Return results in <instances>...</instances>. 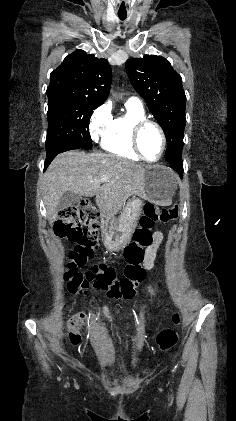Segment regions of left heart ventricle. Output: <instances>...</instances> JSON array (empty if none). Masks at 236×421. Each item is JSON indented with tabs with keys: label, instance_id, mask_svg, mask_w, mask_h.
I'll list each match as a JSON object with an SVG mask.
<instances>
[{
	"label": "left heart ventricle",
	"instance_id": "left-heart-ventricle-1",
	"mask_svg": "<svg viewBox=\"0 0 236 421\" xmlns=\"http://www.w3.org/2000/svg\"><path fill=\"white\" fill-rule=\"evenodd\" d=\"M140 148L150 160L159 158L162 150V140L159 132L151 125L145 126L140 133Z\"/></svg>",
	"mask_w": 236,
	"mask_h": 421
}]
</instances>
